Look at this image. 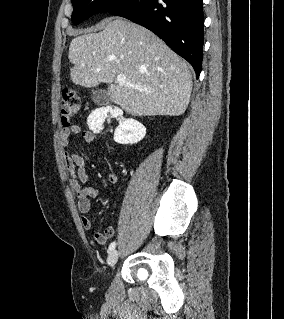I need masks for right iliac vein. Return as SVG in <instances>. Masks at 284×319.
I'll use <instances>...</instances> for the list:
<instances>
[{"instance_id": "right-iliac-vein-1", "label": "right iliac vein", "mask_w": 284, "mask_h": 319, "mask_svg": "<svg viewBox=\"0 0 284 319\" xmlns=\"http://www.w3.org/2000/svg\"><path fill=\"white\" fill-rule=\"evenodd\" d=\"M119 253L117 250H112L107 259V263L110 267H113L118 261Z\"/></svg>"}]
</instances>
